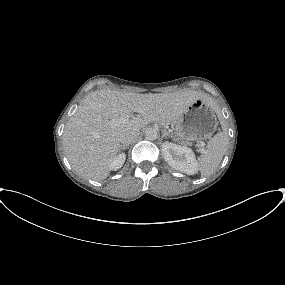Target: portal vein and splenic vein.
<instances>
[{
    "instance_id": "1",
    "label": "portal vein and splenic vein",
    "mask_w": 285,
    "mask_h": 285,
    "mask_svg": "<svg viewBox=\"0 0 285 285\" xmlns=\"http://www.w3.org/2000/svg\"><path fill=\"white\" fill-rule=\"evenodd\" d=\"M139 112L143 113V110H140ZM125 120H126L125 118L121 117L120 119L113 120V123H120V122H124ZM204 146H205L204 142H200L198 144V147H200L202 150H203Z\"/></svg>"
}]
</instances>
